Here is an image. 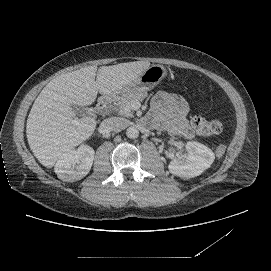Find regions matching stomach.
<instances>
[{
	"label": "stomach",
	"instance_id": "1",
	"mask_svg": "<svg viewBox=\"0 0 271 271\" xmlns=\"http://www.w3.org/2000/svg\"><path fill=\"white\" fill-rule=\"evenodd\" d=\"M165 71V68L162 66H150L136 80L125 86L122 91L112 95L115 99H121L128 94L145 93L160 82Z\"/></svg>",
	"mask_w": 271,
	"mask_h": 271
}]
</instances>
